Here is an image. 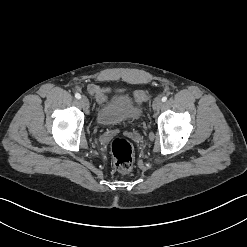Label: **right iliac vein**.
<instances>
[{
  "instance_id": "obj_1",
  "label": "right iliac vein",
  "mask_w": 247,
  "mask_h": 247,
  "mask_svg": "<svg viewBox=\"0 0 247 247\" xmlns=\"http://www.w3.org/2000/svg\"><path fill=\"white\" fill-rule=\"evenodd\" d=\"M80 103L85 109L89 108V100L87 99V97L85 96L81 97Z\"/></svg>"
}]
</instances>
